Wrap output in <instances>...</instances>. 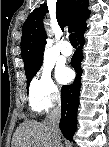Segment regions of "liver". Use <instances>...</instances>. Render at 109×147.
<instances>
[{"label": "liver", "mask_w": 109, "mask_h": 147, "mask_svg": "<svg viewBox=\"0 0 109 147\" xmlns=\"http://www.w3.org/2000/svg\"><path fill=\"white\" fill-rule=\"evenodd\" d=\"M53 147L52 138L45 122L25 120L16 129L11 147Z\"/></svg>", "instance_id": "liver-1"}]
</instances>
